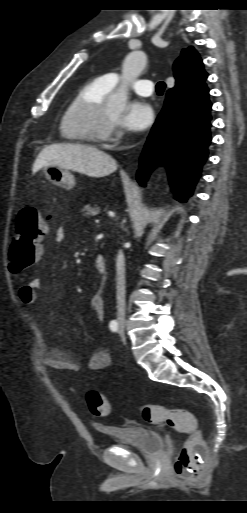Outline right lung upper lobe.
I'll use <instances>...</instances> for the list:
<instances>
[{
    "label": "right lung upper lobe",
    "instance_id": "1",
    "mask_svg": "<svg viewBox=\"0 0 247 513\" xmlns=\"http://www.w3.org/2000/svg\"><path fill=\"white\" fill-rule=\"evenodd\" d=\"M176 91L188 92L198 89L207 78L199 54L193 47L183 49L173 65Z\"/></svg>",
    "mask_w": 247,
    "mask_h": 513
}]
</instances>
